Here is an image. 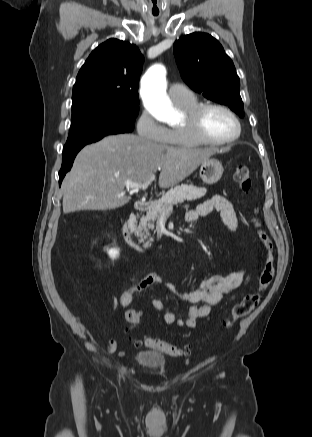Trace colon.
<instances>
[{
	"mask_svg": "<svg viewBox=\"0 0 312 437\" xmlns=\"http://www.w3.org/2000/svg\"><path fill=\"white\" fill-rule=\"evenodd\" d=\"M234 180L242 193L248 196L252 189V177L249 167L246 165L236 167ZM251 213L253 215V222L258 231L259 239L265 248V260L258 279V290L245 295L244 298L234 306L230 319L226 321L227 327H231L234 322L244 318L256 308L260 301V291L268 287L275 271L273 242L262 229L256 210L252 209ZM125 319L132 327H135L140 322V312L134 308H130L125 312ZM135 343L139 346L152 348L172 357H180L184 354L182 348L155 337L145 336L142 339L136 340Z\"/></svg>",
	"mask_w": 312,
	"mask_h": 437,
	"instance_id": "5ec220e1",
	"label": "colon"
}]
</instances>
